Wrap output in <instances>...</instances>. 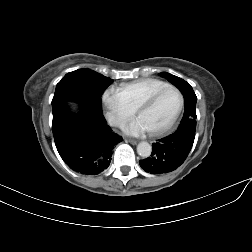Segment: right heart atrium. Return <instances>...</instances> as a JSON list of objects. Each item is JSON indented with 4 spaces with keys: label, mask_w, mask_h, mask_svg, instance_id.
Returning a JSON list of instances; mask_svg holds the SVG:
<instances>
[{
    "label": "right heart atrium",
    "mask_w": 252,
    "mask_h": 252,
    "mask_svg": "<svg viewBox=\"0 0 252 252\" xmlns=\"http://www.w3.org/2000/svg\"><path fill=\"white\" fill-rule=\"evenodd\" d=\"M102 101L107 109V119L112 126L123 125L135 113L126 97L117 89L106 90L102 95Z\"/></svg>",
    "instance_id": "obj_1"
}]
</instances>
